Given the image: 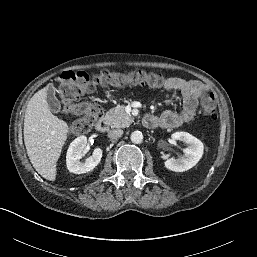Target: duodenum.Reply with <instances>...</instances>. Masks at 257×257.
Segmentation results:
<instances>
[{
	"instance_id": "obj_1",
	"label": "duodenum",
	"mask_w": 257,
	"mask_h": 257,
	"mask_svg": "<svg viewBox=\"0 0 257 257\" xmlns=\"http://www.w3.org/2000/svg\"><path fill=\"white\" fill-rule=\"evenodd\" d=\"M96 129L99 132H105L108 129V120L106 119V117L103 116L98 121Z\"/></svg>"
}]
</instances>
